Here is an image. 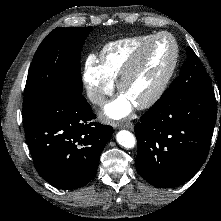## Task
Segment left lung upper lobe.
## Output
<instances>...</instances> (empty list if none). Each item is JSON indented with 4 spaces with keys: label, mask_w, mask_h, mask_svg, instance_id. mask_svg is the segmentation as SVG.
Instances as JSON below:
<instances>
[{
    "label": "left lung upper lobe",
    "mask_w": 221,
    "mask_h": 221,
    "mask_svg": "<svg viewBox=\"0 0 221 221\" xmlns=\"http://www.w3.org/2000/svg\"><path fill=\"white\" fill-rule=\"evenodd\" d=\"M187 61L182 65L180 75L172 82L162 97H170L182 94L194 87L211 86V78L196 56L188 46L186 48Z\"/></svg>",
    "instance_id": "obj_1"
}]
</instances>
